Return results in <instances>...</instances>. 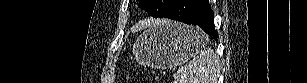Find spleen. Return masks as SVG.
Wrapping results in <instances>:
<instances>
[{
  "label": "spleen",
  "mask_w": 307,
  "mask_h": 83,
  "mask_svg": "<svg viewBox=\"0 0 307 83\" xmlns=\"http://www.w3.org/2000/svg\"><path fill=\"white\" fill-rule=\"evenodd\" d=\"M219 73V57L210 48H205L173 77L174 83H217Z\"/></svg>",
  "instance_id": "obj_1"
}]
</instances>
